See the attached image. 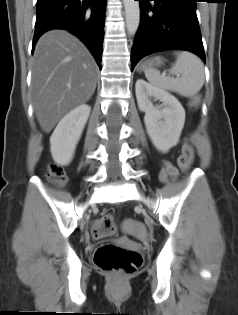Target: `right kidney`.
<instances>
[{
  "instance_id": "right-kidney-1",
  "label": "right kidney",
  "mask_w": 238,
  "mask_h": 315,
  "mask_svg": "<svg viewBox=\"0 0 238 315\" xmlns=\"http://www.w3.org/2000/svg\"><path fill=\"white\" fill-rule=\"evenodd\" d=\"M90 111L89 105H79L58 123L50 137V151L57 164L66 166L72 161Z\"/></svg>"
}]
</instances>
